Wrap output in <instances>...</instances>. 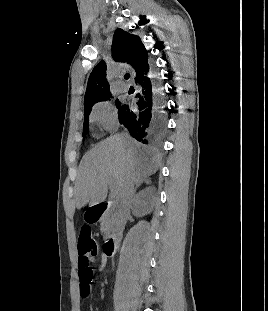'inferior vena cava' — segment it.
Returning <instances> with one entry per match:
<instances>
[{"instance_id":"obj_1","label":"inferior vena cava","mask_w":268,"mask_h":311,"mask_svg":"<svg viewBox=\"0 0 268 311\" xmlns=\"http://www.w3.org/2000/svg\"><path fill=\"white\" fill-rule=\"evenodd\" d=\"M134 184L130 182H126L123 189L120 193V203L119 208L117 212V221L116 226L117 230L119 232V235L122 234L125 224H126V218L130 211V205L134 196Z\"/></svg>"}]
</instances>
